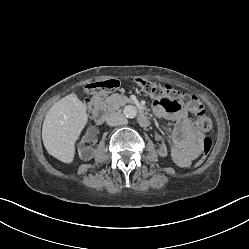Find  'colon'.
<instances>
[{
    "mask_svg": "<svg viewBox=\"0 0 249 249\" xmlns=\"http://www.w3.org/2000/svg\"><path fill=\"white\" fill-rule=\"evenodd\" d=\"M135 84L147 95L155 98L156 100L162 101L168 110H170L169 102L171 100L181 102L195 113L197 125L201 130H203L204 132H208L212 129L213 121L210 115L195 96H191L185 93H178L169 85L152 82L144 78H136ZM118 85L119 83L115 79L90 83L86 87L88 93L91 96L88 100L89 111L93 112L100 103L102 97L107 92L117 88ZM211 148L212 139L210 137H205L203 139L202 147L195 154V157L198 160L204 159L210 152Z\"/></svg>",
    "mask_w": 249,
    "mask_h": 249,
    "instance_id": "1",
    "label": "colon"
}]
</instances>
